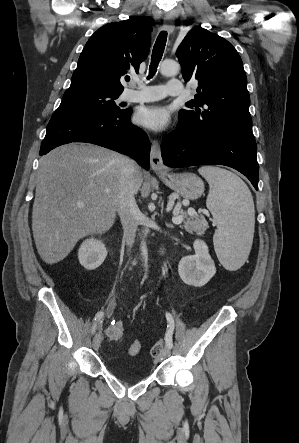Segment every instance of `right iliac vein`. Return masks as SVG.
<instances>
[{
    "mask_svg": "<svg viewBox=\"0 0 299 443\" xmlns=\"http://www.w3.org/2000/svg\"><path fill=\"white\" fill-rule=\"evenodd\" d=\"M101 323H102V321L99 322V325ZM100 343H101L100 334L97 333L93 338V342H92L93 349L98 350V348L100 347Z\"/></svg>",
    "mask_w": 299,
    "mask_h": 443,
    "instance_id": "obj_1",
    "label": "right iliac vein"
}]
</instances>
